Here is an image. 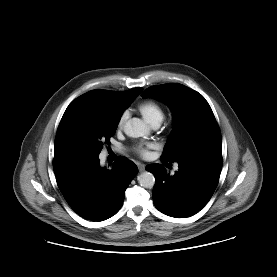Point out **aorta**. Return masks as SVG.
<instances>
[{"label": "aorta", "mask_w": 277, "mask_h": 277, "mask_svg": "<svg viewBox=\"0 0 277 277\" xmlns=\"http://www.w3.org/2000/svg\"><path fill=\"white\" fill-rule=\"evenodd\" d=\"M124 132L127 136L138 138L149 134L148 126L139 118L128 120L124 126ZM138 183L144 188H153L155 177L150 172H143L138 176Z\"/></svg>", "instance_id": "aorta-1"}]
</instances>
